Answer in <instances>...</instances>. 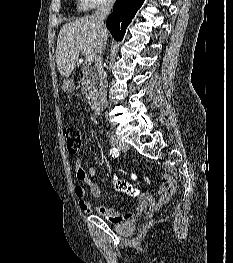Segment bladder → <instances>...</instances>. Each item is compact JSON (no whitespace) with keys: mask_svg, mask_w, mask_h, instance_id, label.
I'll return each mask as SVG.
<instances>
[{"mask_svg":"<svg viewBox=\"0 0 233 263\" xmlns=\"http://www.w3.org/2000/svg\"><path fill=\"white\" fill-rule=\"evenodd\" d=\"M136 221L134 219H127L113 225L114 230L121 235H130L135 229Z\"/></svg>","mask_w":233,"mask_h":263,"instance_id":"obj_1","label":"bladder"}]
</instances>
